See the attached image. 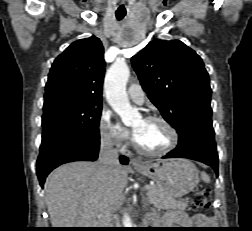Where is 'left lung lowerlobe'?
Wrapping results in <instances>:
<instances>
[{
	"instance_id": "obj_1",
	"label": "left lung lower lobe",
	"mask_w": 252,
	"mask_h": 231,
	"mask_svg": "<svg viewBox=\"0 0 252 231\" xmlns=\"http://www.w3.org/2000/svg\"><path fill=\"white\" fill-rule=\"evenodd\" d=\"M179 134L177 147L162 158H188L211 166L218 176V155L212 122H193Z\"/></svg>"
}]
</instances>
